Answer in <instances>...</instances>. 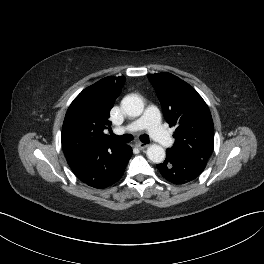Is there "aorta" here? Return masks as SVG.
<instances>
[{
	"instance_id": "1",
	"label": "aorta",
	"mask_w": 264,
	"mask_h": 264,
	"mask_svg": "<svg viewBox=\"0 0 264 264\" xmlns=\"http://www.w3.org/2000/svg\"><path fill=\"white\" fill-rule=\"evenodd\" d=\"M121 106L125 113L131 117H138L144 110V104L137 95H127L121 101ZM147 157L153 163H162L165 160V150L162 146L152 144L147 148Z\"/></svg>"
}]
</instances>
